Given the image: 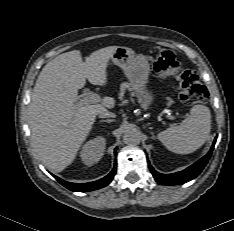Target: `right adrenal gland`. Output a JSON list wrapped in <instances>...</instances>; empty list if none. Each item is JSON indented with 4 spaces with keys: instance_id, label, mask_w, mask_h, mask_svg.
<instances>
[{
    "instance_id": "right-adrenal-gland-1",
    "label": "right adrenal gland",
    "mask_w": 234,
    "mask_h": 231,
    "mask_svg": "<svg viewBox=\"0 0 234 231\" xmlns=\"http://www.w3.org/2000/svg\"><path fill=\"white\" fill-rule=\"evenodd\" d=\"M113 121H114L113 119L100 120L101 123L103 122L111 123Z\"/></svg>"
}]
</instances>
